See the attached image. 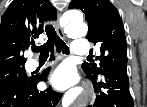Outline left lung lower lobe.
I'll use <instances>...</instances> for the list:
<instances>
[{
  "label": "left lung lower lobe",
  "instance_id": "0a47b994",
  "mask_svg": "<svg viewBox=\"0 0 147 107\" xmlns=\"http://www.w3.org/2000/svg\"><path fill=\"white\" fill-rule=\"evenodd\" d=\"M99 77H102L100 81ZM90 78L97 95L95 103L89 107H134L126 64H112Z\"/></svg>",
  "mask_w": 147,
  "mask_h": 107
}]
</instances>
